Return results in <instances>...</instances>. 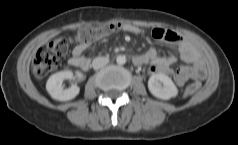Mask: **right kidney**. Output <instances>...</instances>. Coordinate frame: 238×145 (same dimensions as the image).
<instances>
[{
    "mask_svg": "<svg viewBox=\"0 0 238 145\" xmlns=\"http://www.w3.org/2000/svg\"><path fill=\"white\" fill-rule=\"evenodd\" d=\"M75 77L82 78L83 75L80 72H76V75H74L72 70H64L50 76L46 83V89L50 96L59 101H68L75 98L79 94L80 88L77 85H72L64 89L62 85L64 80Z\"/></svg>",
    "mask_w": 238,
    "mask_h": 145,
    "instance_id": "ca27d5eb",
    "label": "right kidney"
}]
</instances>
